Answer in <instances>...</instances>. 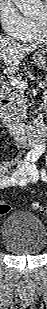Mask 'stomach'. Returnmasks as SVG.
I'll return each instance as SVG.
<instances>
[{
	"label": "stomach",
	"mask_w": 47,
	"mask_h": 309,
	"mask_svg": "<svg viewBox=\"0 0 47 309\" xmlns=\"http://www.w3.org/2000/svg\"><path fill=\"white\" fill-rule=\"evenodd\" d=\"M35 65L47 70V47L39 50L33 57Z\"/></svg>",
	"instance_id": "0dacf381"
}]
</instances>
